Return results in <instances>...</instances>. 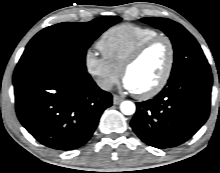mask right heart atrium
I'll return each instance as SVG.
<instances>
[{"mask_svg":"<svg viewBox=\"0 0 220 173\" xmlns=\"http://www.w3.org/2000/svg\"><path fill=\"white\" fill-rule=\"evenodd\" d=\"M84 65L87 73L95 80L103 90H110L120 79L121 70L109 62L105 57L98 56L89 49L84 57Z\"/></svg>","mask_w":220,"mask_h":173,"instance_id":"1","label":"right heart atrium"}]
</instances>
